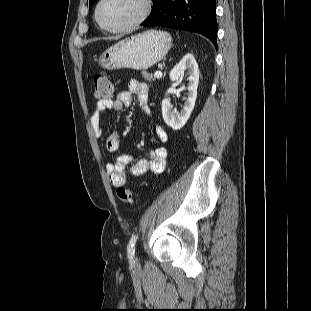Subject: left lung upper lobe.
I'll return each instance as SVG.
<instances>
[{
	"instance_id": "5c2ea615",
	"label": "left lung upper lobe",
	"mask_w": 311,
	"mask_h": 311,
	"mask_svg": "<svg viewBox=\"0 0 311 311\" xmlns=\"http://www.w3.org/2000/svg\"><path fill=\"white\" fill-rule=\"evenodd\" d=\"M96 0H89V9L92 7L93 3L95 2Z\"/></svg>"
}]
</instances>
